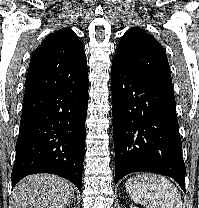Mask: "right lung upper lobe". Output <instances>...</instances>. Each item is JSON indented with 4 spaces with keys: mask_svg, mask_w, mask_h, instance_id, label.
Instances as JSON below:
<instances>
[{
    "mask_svg": "<svg viewBox=\"0 0 199 208\" xmlns=\"http://www.w3.org/2000/svg\"><path fill=\"white\" fill-rule=\"evenodd\" d=\"M88 78L85 51L77 35L63 28L48 35L34 51L25 97L78 84Z\"/></svg>",
    "mask_w": 199,
    "mask_h": 208,
    "instance_id": "obj_1",
    "label": "right lung upper lobe"
}]
</instances>
